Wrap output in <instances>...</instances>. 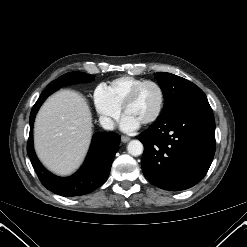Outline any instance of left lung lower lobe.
Here are the masks:
<instances>
[{
    "label": "left lung lower lobe",
    "mask_w": 247,
    "mask_h": 247,
    "mask_svg": "<svg viewBox=\"0 0 247 247\" xmlns=\"http://www.w3.org/2000/svg\"><path fill=\"white\" fill-rule=\"evenodd\" d=\"M138 139L144 145L141 167L159 188L180 191L197 184L215 153V121L206 96L186 99L160 115Z\"/></svg>",
    "instance_id": "left-lung-lower-lobe-1"
}]
</instances>
